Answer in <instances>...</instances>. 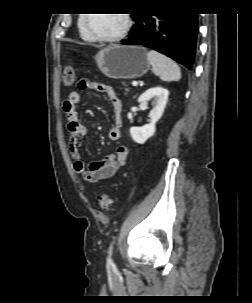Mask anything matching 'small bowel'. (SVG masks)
Here are the masks:
<instances>
[{
    "label": "small bowel",
    "mask_w": 252,
    "mask_h": 303,
    "mask_svg": "<svg viewBox=\"0 0 252 303\" xmlns=\"http://www.w3.org/2000/svg\"><path fill=\"white\" fill-rule=\"evenodd\" d=\"M78 88L84 90H96L105 93L113 109V125L108 136L112 141H118L122 129V103L112 86L92 82L86 79L78 82ZM81 102V95L77 91L69 93L63 103V111L67 118V141L68 148L74 159V170L88 182H98L113 177L121 167L125 166L129 150L126 146H118L116 150L100 161H92L85 164L80 159V150L83 139L87 134V126L80 119L76 106Z\"/></svg>",
    "instance_id": "1"
}]
</instances>
